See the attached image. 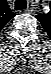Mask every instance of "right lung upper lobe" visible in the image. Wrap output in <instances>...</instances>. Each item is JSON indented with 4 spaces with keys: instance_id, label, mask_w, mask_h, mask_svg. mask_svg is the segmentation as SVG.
<instances>
[{
    "instance_id": "obj_1",
    "label": "right lung upper lobe",
    "mask_w": 51,
    "mask_h": 74,
    "mask_svg": "<svg viewBox=\"0 0 51 74\" xmlns=\"http://www.w3.org/2000/svg\"><path fill=\"white\" fill-rule=\"evenodd\" d=\"M4 13L3 26L15 16V13H13L8 6H5Z\"/></svg>"
}]
</instances>
